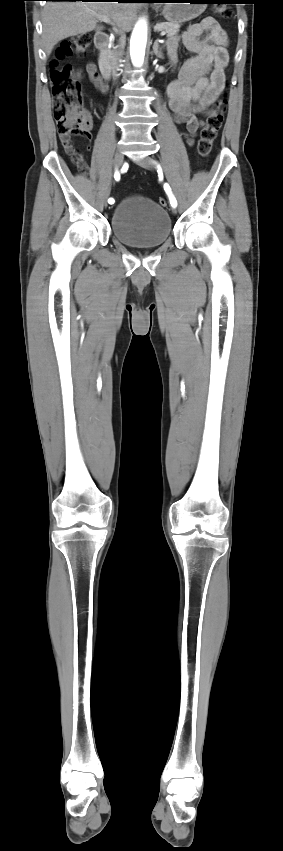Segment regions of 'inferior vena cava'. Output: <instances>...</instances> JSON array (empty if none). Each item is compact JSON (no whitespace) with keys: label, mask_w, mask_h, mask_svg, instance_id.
I'll return each mask as SVG.
<instances>
[{"label":"inferior vena cava","mask_w":283,"mask_h":851,"mask_svg":"<svg viewBox=\"0 0 283 851\" xmlns=\"http://www.w3.org/2000/svg\"><path fill=\"white\" fill-rule=\"evenodd\" d=\"M119 34L121 36L120 40H119V42H120L119 47L121 49L123 47L124 43H125L126 37H125V34H124L123 31H119ZM118 69H119V50L117 52H114V54L112 55L111 71H112V75H113L114 79H116L118 77V74H117Z\"/></svg>","instance_id":"obj_1"}]
</instances>
